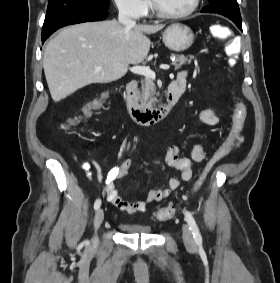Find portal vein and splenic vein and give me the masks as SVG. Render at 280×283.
<instances>
[{"mask_svg": "<svg viewBox=\"0 0 280 283\" xmlns=\"http://www.w3.org/2000/svg\"><path fill=\"white\" fill-rule=\"evenodd\" d=\"M169 68H170V65L168 64L160 65V69L168 70ZM130 71L137 75H143L144 77L148 79H154L156 77L155 72L146 66H133L130 68Z\"/></svg>", "mask_w": 280, "mask_h": 283, "instance_id": "18ae733b", "label": "portal vein and splenic vein"}]
</instances>
